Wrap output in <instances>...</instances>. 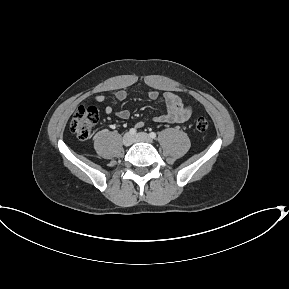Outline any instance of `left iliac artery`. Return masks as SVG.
I'll use <instances>...</instances> for the list:
<instances>
[{"label": "left iliac artery", "mask_w": 289, "mask_h": 289, "mask_svg": "<svg viewBox=\"0 0 289 289\" xmlns=\"http://www.w3.org/2000/svg\"><path fill=\"white\" fill-rule=\"evenodd\" d=\"M149 135H150V137H151L152 139H155V138H156V133H155V132H151Z\"/></svg>", "instance_id": "obj_1"}]
</instances>
